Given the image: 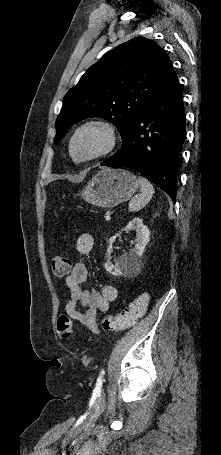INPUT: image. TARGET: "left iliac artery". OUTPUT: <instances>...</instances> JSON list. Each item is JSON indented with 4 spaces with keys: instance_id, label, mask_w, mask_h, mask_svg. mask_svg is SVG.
<instances>
[{
    "instance_id": "obj_1",
    "label": "left iliac artery",
    "mask_w": 221,
    "mask_h": 455,
    "mask_svg": "<svg viewBox=\"0 0 221 455\" xmlns=\"http://www.w3.org/2000/svg\"><path fill=\"white\" fill-rule=\"evenodd\" d=\"M104 374H105V371L102 370V371L100 372V376H99L98 379H97V383H96V389H97V390H100L101 387H102V377H103Z\"/></svg>"
}]
</instances>
